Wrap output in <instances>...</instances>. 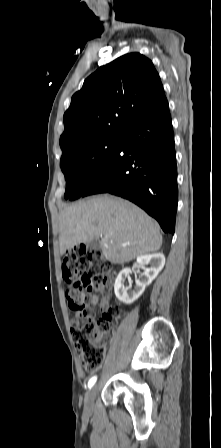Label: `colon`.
<instances>
[{"label": "colon", "mask_w": 221, "mask_h": 448, "mask_svg": "<svg viewBox=\"0 0 221 448\" xmlns=\"http://www.w3.org/2000/svg\"><path fill=\"white\" fill-rule=\"evenodd\" d=\"M62 274L70 284L66 292L68 307L80 313L83 322L72 328V338L87 371H96L105 357L106 336L111 329L117 306H111L101 318L95 319L89 308L92 292L109 289L113 275L111 263L96 249L77 246L65 253Z\"/></svg>", "instance_id": "1"}]
</instances>
